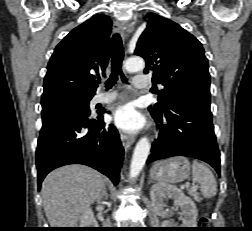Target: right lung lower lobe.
Returning a JSON list of instances; mask_svg holds the SVG:
<instances>
[{
    "label": "right lung lower lobe",
    "instance_id": "right-lung-lower-lobe-1",
    "mask_svg": "<svg viewBox=\"0 0 252 231\" xmlns=\"http://www.w3.org/2000/svg\"><path fill=\"white\" fill-rule=\"evenodd\" d=\"M103 113L64 114L43 122L36 149L39 186L50 171L68 164L90 166L118 183L124 149Z\"/></svg>",
    "mask_w": 252,
    "mask_h": 231
}]
</instances>
